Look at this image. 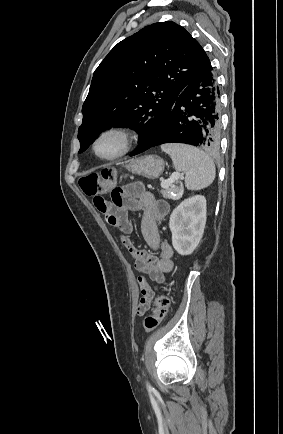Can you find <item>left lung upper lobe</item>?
<instances>
[{"mask_svg": "<svg viewBox=\"0 0 283 434\" xmlns=\"http://www.w3.org/2000/svg\"><path fill=\"white\" fill-rule=\"evenodd\" d=\"M211 67L201 45L174 22L154 23L122 40L94 72L79 153L110 127L135 130L136 151L149 146L183 89Z\"/></svg>", "mask_w": 283, "mask_h": 434, "instance_id": "1", "label": "left lung upper lobe"}]
</instances>
